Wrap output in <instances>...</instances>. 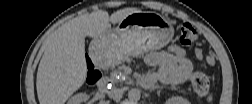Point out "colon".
<instances>
[{
	"instance_id": "5ec220e1",
	"label": "colon",
	"mask_w": 252,
	"mask_h": 104,
	"mask_svg": "<svg viewBox=\"0 0 252 104\" xmlns=\"http://www.w3.org/2000/svg\"><path fill=\"white\" fill-rule=\"evenodd\" d=\"M179 41L185 47L191 48L199 43V33L198 31L188 23H181L178 26ZM199 59L205 60L207 63H214L212 57L208 55H203L200 52H197ZM101 77L99 70L89 62L87 64V74L86 82L88 84L96 83ZM190 81L195 93L200 96H206L210 91V82L208 77L200 72H195L191 75Z\"/></svg>"
}]
</instances>
